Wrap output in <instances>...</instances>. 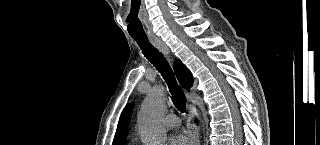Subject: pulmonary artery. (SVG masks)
<instances>
[{
    "label": "pulmonary artery",
    "instance_id": "e3ab8cb5",
    "mask_svg": "<svg viewBox=\"0 0 320 145\" xmlns=\"http://www.w3.org/2000/svg\"><path fill=\"white\" fill-rule=\"evenodd\" d=\"M164 123L169 128H176L181 124L180 118L175 114H168L165 117Z\"/></svg>",
    "mask_w": 320,
    "mask_h": 145
}]
</instances>
